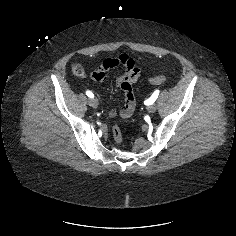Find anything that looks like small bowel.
I'll return each instance as SVG.
<instances>
[{"instance_id":"c3829d8e","label":"small bowel","mask_w":236,"mask_h":236,"mask_svg":"<svg viewBox=\"0 0 236 236\" xmlns=\"http://www.w3.org/2000/svg\"><path fill=\"white\" fill-rule=\"evenodd\" d=\"M115 68H122L123 70V75L117 78L116 84L124 93L125 104L120 111L111 109L108 114L110 117L120 115L122 118L127 119L132 116L135 110L136 102L132 86L141 76V64L127 54H121L118 57H108L92 71L91 77L94 81L103 83L107 79L108 72Z\"/></svg>"}]
</instances>
